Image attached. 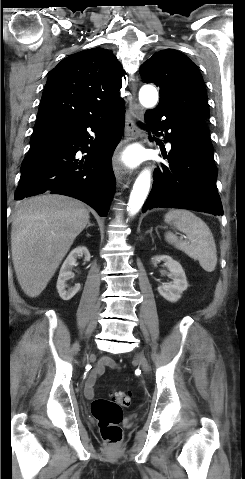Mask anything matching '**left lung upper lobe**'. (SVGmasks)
Returning <instances> with one entry per match:
<instances>
[{
	"label": "left lung upper lobe",
	"mask_w": 245,
	"mask_h": 479,
	"mask_svg": "<svg viewBox=\"0 0 245 479\" xmlns=\"http://www.w3.org/2000/svg\"><path fill=\"white\" fill-rule=\"evenodd\" d=\"M144 82L160 88L157 109L172 117L207 120L209 109L204 81L197 66L184 54L165 49L153 54L140 69Z\"/></svg>",
	"instance_id": "obj_1"
}]
</instances>
